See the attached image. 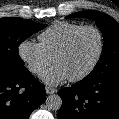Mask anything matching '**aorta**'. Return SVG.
I'll return each mask as SVG.
<instances>
[{"label":"aorta","mask_w":119,"mask_h":119,"mask_svg":"<svg viewBox=\"0 0 119 119\" xmlns=\"http://www.w3.org/2000/svg\"><path fill=\"white\" fill-rule=\"evenodd\" d=\"M46 106L50 110H59L62 106V99L57 94L49 95L46 98Z\"/></svg>","instance_id":"obj_1"}]
</instances>
